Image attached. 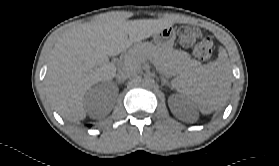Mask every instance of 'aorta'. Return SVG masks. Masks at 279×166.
I'll use <instances>...</instances> for the list:
<instances>
[{
    "instance_id": "1",
    "label": "aorta",
    "mask_w": 279,
    "mask_h": 166,
    "mask_svg": "<svg viewBox=\"0 0 279 166\" xmlns=\"http://www.w3.org/2000/svg\"><path fill=\"white\" fill-rule=\"evenodd\" d=\"M143 85L151 86L154 84V79L150 76H145L142 80Z\"/></svg>"
}]
</instances>
